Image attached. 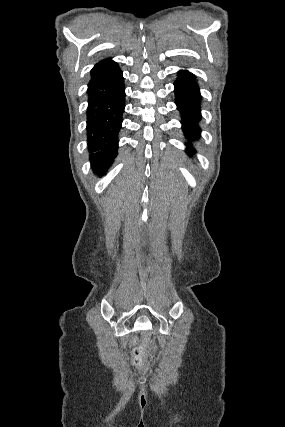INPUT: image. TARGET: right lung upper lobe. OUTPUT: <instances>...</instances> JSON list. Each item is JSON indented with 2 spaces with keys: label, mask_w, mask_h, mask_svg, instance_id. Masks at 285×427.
I'll return each mask as SVG.
<instances>
[{
  "label": "right lung upper lobe",
  "mask_w": 285,
  "mask_h": 427,
  "mask_svg": "<svg viewBox=\"0 0 285 427\" xmlns=\"http://www.w3.org/2000/svg\"><path fill=\"white\" fill-rule=\"evenodd\" d=\"M117 63L107 58L97 63L91 70L92 79L119 71Z\"/></svg>",
  "instance_id": "cb5924a9"
}]
</instances>
